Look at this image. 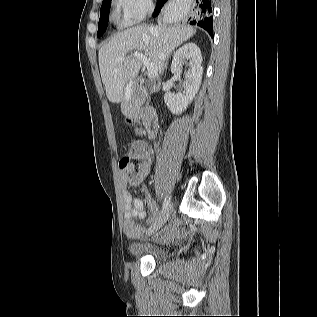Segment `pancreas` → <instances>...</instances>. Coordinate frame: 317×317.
Segmentation results:
<instances>
[{
  "label": "pancreas",
  "instance_id": "1",
  "mask_svg": "<svg viewBox=\"0 0 317 317\" xmlns=\"http://www.w3.org/2000/svg\"><path fill=\"white\" fill-rule=\"evenodd\" d=\"M144 93L143 91L138 93L137 95H133L132 101L129 103L131 107V111L133 114L138 115L140 111L141 105L144 103Z\"/></svg>",
  "mask_w": 317,
  "mask_h": 317
}]
</instances>
